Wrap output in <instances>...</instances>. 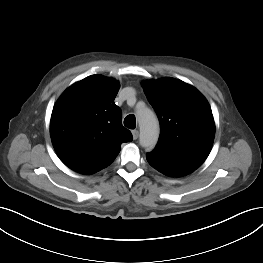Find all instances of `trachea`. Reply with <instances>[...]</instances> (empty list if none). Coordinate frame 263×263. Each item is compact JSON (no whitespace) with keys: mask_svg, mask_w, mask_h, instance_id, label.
<instances>
[{"mask_svg":"<svg viewBox=\"0 0 263 263\" xmlns=\"http://www.w3.org/2000/svg\"><path fill=\"white\" fill-rule=\"evenodd\" d=\"M124 125L129 129H135L136 127V119L134 115H128L124 119Z\"/></svg>","mask_w":263,"mask_h":263,"instance_id":"1","label":"trachea"}]
</instances>
